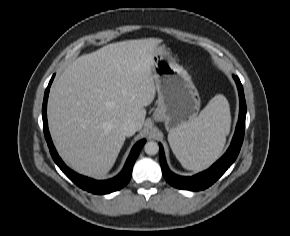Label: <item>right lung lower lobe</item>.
Segmentation results:
<instances>
[{
    "mask_svg": "<svg viewBox=\"0 0 290 236\" xmlns=\"http://www.w3.org/2000/svg\"><path fill=\"white\" fill-rule=\"evenodd\" d=\"M54 76L51 78L48 87L45 90L44 95V101L42 106V117H43V129H44V135L45 139L47 141L48 147L50 149V154L55 161V163L59 166V168L64 172V174L73 181L77 186L80 188L94 193V194H108L114 191H117L121 188H123L130 180L132 175V167L140 153V150L145 144V140L139 141L132 149L125 166L121 173L117 175L116 177L105 180V181H96L87 177H84L82 175H79L75 173L74 171L70 170L61 160V158L58 156L54 145L52 144L51 137L48 130L47 125V116H46V107H47V99L49 94V89L51 86V83L53 81Z\"/></svg>",
    "mask_w": 290,
    "mask_h": 236,
    "instance_id": "98d812e1",
    "label": "right lung lower lobe"
}]
</instances>
